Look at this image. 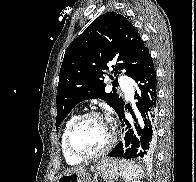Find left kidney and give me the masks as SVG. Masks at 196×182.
Here are the masks:
<instances>
[{"label":"left kidney","mask_w":196,"mask_h":182,"mask_svg":"<svg viewBox=\"0 0 196 182\" xmlns=\"http://www.w3.org/2000/svg\"><path fill=\"white\" fill-rule=\"evenodd\" d=\"M132 182H142V181H139V180H138V181H137V180H134V181H132Z\"/></svg>","instance_id":"5707ae66"}]
</instances>
